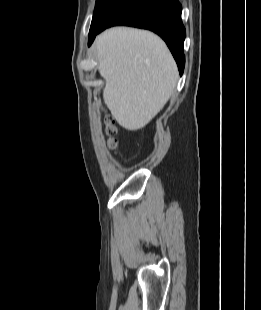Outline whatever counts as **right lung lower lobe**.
<instances>
[{"label":"right lung lower lobe","instance_id":"98d812e1","mask_svg":"<svg viewBox=\"0 0 261 310\" xmlns=\"http://www.w3.org/2000/svg\"><path fill=\"white\" fill-rule=\"evenodd\" d=\"M181 11L182 6L178 0H128L102 25L90 30L89 45L98 33L114 25L149 29L166 42L182 75L185 65L183 44L186 32L181 20Z\"/></svg>","mask_w":261,"mask_h":310}]
</instances>
